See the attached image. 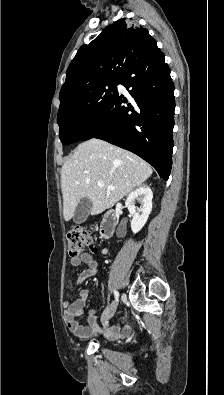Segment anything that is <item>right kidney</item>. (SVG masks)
<instances>
[{"instance_id":"1","label":"right kidney","mask_w":224,"mask_h":395,"mask_svg":"<svg viewBox=\"0 0 224 395\" xmlns=\"http://www.w3.org/2000/svg\"><path fill=\"white\" fill-rule=\"evenodd\" d=\"M153 193L148 186L138 187L132 191L125 201V206L132 215L131 230L138 233L146 224L152 210ZM139 200L140 208H136L134 202Z\"/></svg>"}]
</instances>
